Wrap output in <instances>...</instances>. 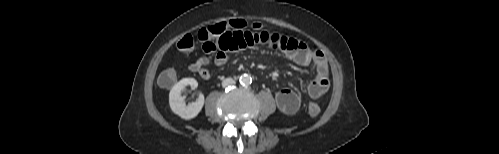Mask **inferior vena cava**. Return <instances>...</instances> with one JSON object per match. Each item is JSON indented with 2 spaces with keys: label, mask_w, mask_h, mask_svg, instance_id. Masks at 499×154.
Segmentation results:
<instances>
[{
  "label": "inferior vena cava",
  "mask_w": 499,
  "mask_h": 154,
  "mask_svg": "<svg viewBox=\"0 0 499 154\" xmlns=\"http://www.w3.org/2000/svg\"><path fill=\"white\" fill-rule=\"evenodd\" d=\"M235 84V80L232 79V78H226L225 80H223L222 82V86L223 87H227V86H231V85H234Z\"/></svg>",
  "instance_id": "obj_1"
}]
</instances>
